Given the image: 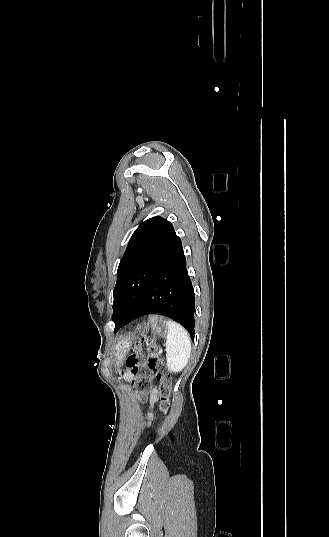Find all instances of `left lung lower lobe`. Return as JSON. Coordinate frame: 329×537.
<instances>
[{
    "label": "left lung lower lobe",
    "mask_w": 329,
    "mask_h": 537,
    "mask_svg": "<svg viewBox=\"0 0 329 537\" xmlns=\"http://www.w3.org/2000/svg\"><path fill=\"white\" fill-rule=\"evenodd\" d=\"M150 313H160L174 319L187 329L192 339L194 338L195 296L186 269L183 248L151 280L120 327Z\"/></svg>",
    "instance_id": "1"
}]
</instances>
